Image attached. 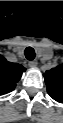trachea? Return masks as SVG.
Masks as SVG:
<instances>
[{"label":"trachea","mask_w":63,"mask_h":123,"mask_svg":"<svg viewBox=\"0 0 63 123\" xmlns=\"http://www.w3.org/2000/svg\"><path fill=\"white\" fill-rule=\"evenodd\" d=\"M24 54H25L26 59L29 61H33L35 59L36 54H35V50L32 47H27L25 49Z\"/></svg>","instance_id":"obj_1"}]
</instances>
